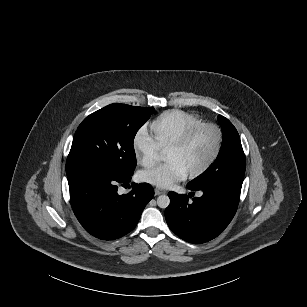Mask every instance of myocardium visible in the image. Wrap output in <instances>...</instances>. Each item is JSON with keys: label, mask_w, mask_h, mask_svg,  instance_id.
I'll return each mask as SVG.
<instances>
[{"label": "myocardium", "mask_w": 307, "mask_h": 307, "mask_svg": "<svg viewBox=\"0 0 307 307\" xmlns=\"http://www.w3.org/2000/svg\"><path fill=\"white\" fill-rule=\"evenodd\" d=\"M206 129H214L217 131L218 133L217 147L214 153L212 154V156L210 157V159L203 166H201L199 169L188 174L189 178H196V177H199L205 174L215 164V162L217 161V159L219 158L223 150L224 143H225V134H224L223 129L219 125H216V124L203 125V126H200L190 131L182 138L175 140L174 142L169 144L166 148V151H180L184 149L186 146H188L194 139H196Z\"/></svg>", "instance_id": "obj_1"}]
</instances>
